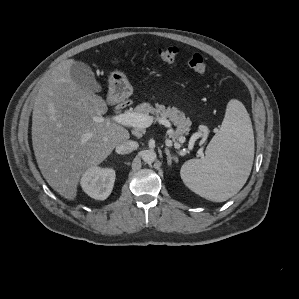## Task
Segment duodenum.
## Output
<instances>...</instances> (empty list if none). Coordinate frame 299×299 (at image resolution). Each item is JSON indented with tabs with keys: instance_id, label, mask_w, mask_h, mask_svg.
Masks as SVG:
<instances>
[{
	"instance_id": "obj_1",
	"label": "duodenum",
	"mask_w": 299,
	"mask_h": 299,
	"mask_svg": "<svg viewBox=\"0 0 299 299\" xmlns=\"http://www.w3.org/2000/svg\"><path fill=\"white\" fill-rule=\"evenodd\" d=\"M123 104H124V102H120V103H118L119 106H121V105H123Z\"/></svg>"
}]
</instances>
